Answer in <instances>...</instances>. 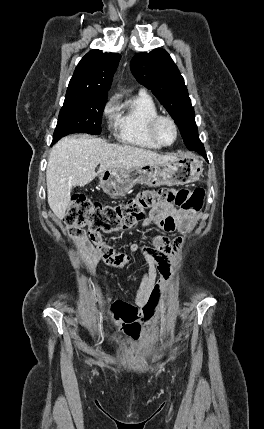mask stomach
Returning <instances> with one entry per match:
<instances>
[{"label": "stomach", "mask_w": 264, "mask_h": 429, "mask_svg": "<svg viewBox=\"0 0 264 429\" xmlns=\"http://www.w3.org/2000/svg\"><path fill=\"white\" fill-rule=\"evenodd\" d=\"M203 164L193 154H184L160 165L113 169L99 173L100 186L111 197L126 195L136 184L150 186L187 185L197 181Z\"/></svg>", "instance_id": "obj_1"}]
</instances>
